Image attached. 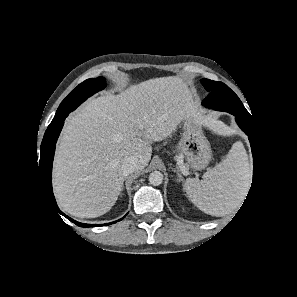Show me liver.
Returning a JSON list of instances; mask_svg holds the SVG:
<instances>
[{"label":"liver","instance_id":"obj_1","mask_svg":"<svg viewBox=\"0 0 297 297\" xmlns=\"http://www.w3.org/2000/svg\"><path fill=\"white\" fill-rule=\"evenodd\" d=\"M185 120L206 124L203 111L178 77L150 79L119 95L89 100L65 121L53 165L60 207L78 218H96L115 204L126 175L122 164L137 159L143 170L161 141Z\"/></svg>","mask_w":297,"mask_h":297}]
</instances>
